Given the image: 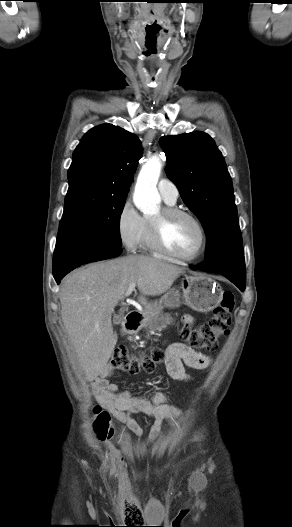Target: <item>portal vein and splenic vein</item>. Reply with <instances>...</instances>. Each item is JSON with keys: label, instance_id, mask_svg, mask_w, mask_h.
Here are the masks:
<instances>
[{"label": "portal vein and splenic vein", "instance_id": "obj_1", "mask_svg": "<svg viewBox=\"0 0 292 527\" xmlns=\"http://www.w3.org/2000/svg\"><path fill=\"white\" fill-rule=\"evenodd\" d=\"M135 286H136V283H135V282H133V283H131V284L129 285V287H128L126 293H125V296H126V297H128V296L132 293V291L135 289Z\"/></svg>", "mask_w": 292, "mask_h": 527}]
</instances>
